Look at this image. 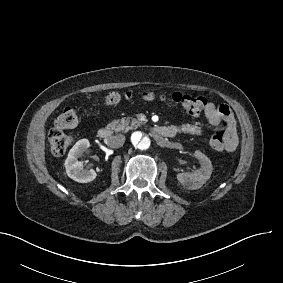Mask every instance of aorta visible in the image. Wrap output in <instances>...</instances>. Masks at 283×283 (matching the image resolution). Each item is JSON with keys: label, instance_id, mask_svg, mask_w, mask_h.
Here are the masks:
<instances>
[{"label": "aorta", "instance_id": "aorta-1", "mask_svg": "<svg viewBox=\"0 0 283 283\" xmlns=\"http://www.w3.org/2000/svg\"><path fill=\"white\" fill-rule=\"evenodd\" d=\"M131 144L136 150L145 151L151 146V139L146 133L136 131L131 135Z\"/></svg>", "mask_w": 283, "mask_h": 283}]
</instances>
